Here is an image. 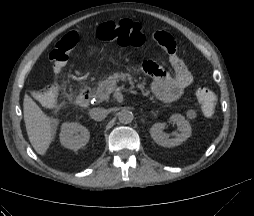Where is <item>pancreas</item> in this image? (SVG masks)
<instances>
[{
  "label": "pancreas",
  "mask_w": 254,
  "mask_h": 216,
  "mask_svg": "<svg viewBox=\"0 0 254 216\" xmlns=\"http://www.w3.org/2000/svg\"><path fill=\"white\" fill-rule=\"evenodd\" d=\"M133 77L129 74H113L109 76L106 80L101 81L98 84V87L96 90H94V97L97 99L98 102H102L104 100H108L110 90H114L116 88V84L119 80H128L129 83L134 86ZM135 82H138L135 80ZM137 87L142 91L144 96H149L150 91L145 89V86L143 83L138 82ZM150 99L153 103H156L154 101V97L151 96Z\"/></svg>",
  "instance_id": "pancreas-1"
}]
</instances>
